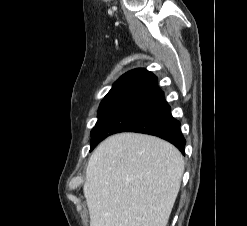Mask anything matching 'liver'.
Listing matches in <instances>:
<instances>
[{
    "instance_id": "obj_1",
    "label": "liver",
    "mask_w": 247,
    "mask_h": 226,
    "mask_svg": "<svg viewBox=\"0 0 247 226\" xmlns=\"http://www.w3.org/2000/svg\"><path fill=\"white\" fill-rule=\"evenodd\" d=\"M184 173L182 154L157 137L120 133L92 153L83 192L90 226H166Z\"/></svg>"
}]
</instances>
